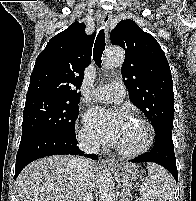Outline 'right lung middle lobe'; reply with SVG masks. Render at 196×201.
Segmentation results:
<instances>
[{
  "label": "right lung middle lobe",
  "mask_w": 196,
  "mask_h": 201,
  "mask_svg": "<svg viewBox=\"0 0 196 201\" xmlns=\"http://www.w3.org/2000/svg\"><path fill=\"white\" fill-rule=\"evenodd\" d=\"M78 101L50 98L26 100L23 112L22 135L34 131H50L67 136L75 134Z\"/></svg>",
  "instance_id": "dd1d6c3e"
}]
</instances>
